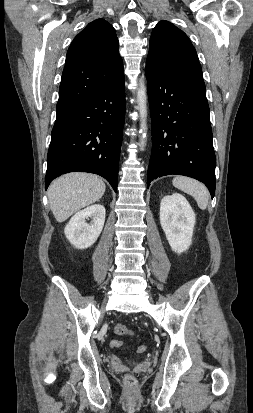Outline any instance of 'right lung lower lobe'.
<instances>
[{
	"instance_id": "1",
	"label": "right lung lower lobe",
	"mask_w": 253,
	"mask_h": 413,
	"mask_svg": "<svg viewBox=\"0 0 253 413\" xmlns=\"http://www.w3.org/2000/svg\"><path fill=\"white\" fill-rule=\"evenodd\" d=\"M124 121V73L101 91L57 109L45 188L61 174L83 171L104 177L116 191Z\"/></svg>"
}]
</instances>
